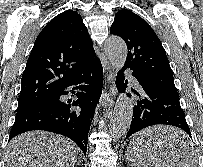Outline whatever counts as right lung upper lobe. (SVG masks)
<instances>
[{"label": "right lung upper lobe", "instance_id": "cb5924a9", "mask_svg": "<svg viewBox=\"0 0 203 167\" xmlns=\"http://www.w3.org/2000/svg\"><path fill=\"white\" fill-rule=\"evenodd\" d=\"M98 59L81 15L73 10L59 14L35 40L22 75L18 106L51 99L73 75Z\"/></svg>", "mask_w": 203, "mask_h": 167}]
</instances>
